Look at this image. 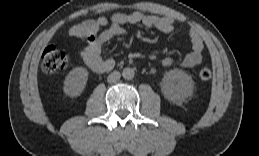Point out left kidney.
Returning <instances> with one entry per match:
<instances>
[{"label": "left kidney", "mask_w": 259, "mask_h": 156, "mask_svg": "<svg viewBox=\"0 0 259 156\" xmlns=\"http://www.w3.org/2000/svg\"><path fill=\"white\" fill-rule=\"evenodd\" d=\"M160 86L164 97L176 104L182 103L194 92V81L191 76L178 69L166 72Z\"/></svg>", "instance_id": "left-kidney-1"}]
</instances>
